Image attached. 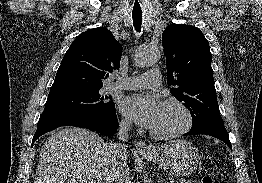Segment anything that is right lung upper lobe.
Masks as SVG:
<instances>
[{"instance_id": "cb5924a9", "label": "right lung upper lobe", "mask_w": 262, "mask_h": 183, "mask_svg": "<svg viewBox=\"0 0 262 183\" xmlns=\"http://www.w3.org/2000/svg\"><path fill=\"white\" fill-rule=\"evenodd\" d=\"M121 44L102 27L80 34L70 45L50 92L103 87L109 72L119 69Z\"/></svg>"}]
</instances>
